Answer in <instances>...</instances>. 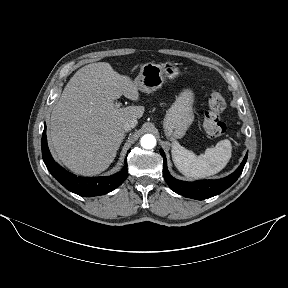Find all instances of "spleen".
Instances as JSON below:
<instances>
[{
    "instance_id": "1",
    "label": "spleen",
    "mask_w": 288,
    "mask_h": 288,
    "mask_svg": "<svg viewBox=\"0 0 288 288\" xmlns=\"http://www.w3.org/2000/svg\"><path fill=\"white\" fill-rule=\"evenodd\" d=\"M231 151V143L225 139L198 156L175 141L171 153L176 168L185 176L205 178L225 168L231 158Z\"/></svg>"
}]
</instances>
